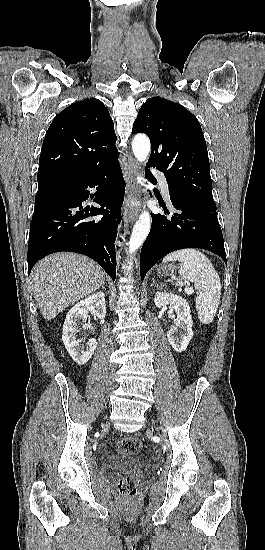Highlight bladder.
Segmentation results:
<instances>
[{
  "label": "bladder",
  "mask_w": 265,
  "mask_h": 550,
  "mask_svg": "<svg viewBox=\"0 0 265 550\" xmlns=\"http://www.w3.org/2000/svg\"><path fill=\"white\" fill-rule=\"evenodd\" d=\"M105 464L109 469H138L143 466V460L136 454L118 452L110 454Z\"/></svg>",
  "instance_id": "31cf9c89"
}]
</instances>
